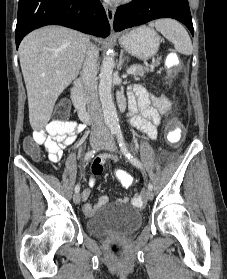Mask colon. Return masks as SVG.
I'll return each mask as SVG.
<instances>
[{
	"label": "colon",
	"mask_w": 227,
	"mask_h": 279,
	"mask_svg": "<svg viewBox=\"0 0 227 279\" xmlns=\"http://www.w3.org/2000/svg\"><path fill=\"white\" fill-rule=\"evenodd\" d=\"M69 113H70V105L67 101L61 102L56 107V115H57L56 121L61 124V127H65L66 124L68 123ZM25 150L34 159H38L41 156L39 145L33 141L25 142ZM100 170L101 169L98 165H95L93 167L94 173H99ZM116 178H117L118 182L122 186H125V187L131 186L134 183L133 176L129 172L124 171V170L117 171ZM142 203H143L142 197H138L134 200V204L136 206H140V205H142Z\"/></svg>",
	"instance_id": "obj_1"
}]
</instances>
